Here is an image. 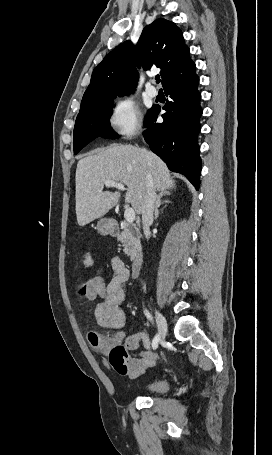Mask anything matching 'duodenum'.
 I'll list each match as a JSON object with an SVG mask.
<instances>
[{
  "instance_id": "1",
  "label": "duodenum",
  "mask_w": 272,
  "mask_h": 455,
  "mask_svg": "<svg viewBox=\"0 0 272 455\" xmlns=\"http://www.w3.org/2000/svg\"><path fill=\"white\" fill-rule=\"evenodd\" d=\"M118 230V226L116 224H113L111 226V232L115 234ZM143 264V256L141 253H136L132 257V263H131V275L132 277L136 278L139 276L141 268Z\"/></svg>"
}]
</instances>
